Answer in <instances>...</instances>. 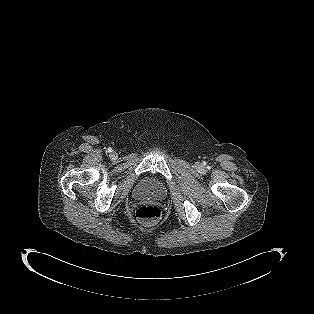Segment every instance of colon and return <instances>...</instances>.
Instances as JSON below:
<instances>
[{
    "instance_id": "5ec220e1",
    "label": "colon",
    "mask_w": 314,
    "mask_h": 314,
    "mask_svg": "<svg viewBox=\"0 0 314 314\" xmlns=\"http://www.w3.org/2000/svg\"><path fill=\"white\" fill-rule=\"evenodd\" d=\"M135 215L138 220L147 224H153L161 219L162 210L154 204H143L136 209Z\"/></svg>"
}]
</instances>
